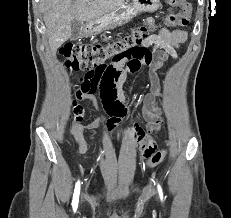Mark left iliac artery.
I'll list each match as a JSON object with an SVG mask.
<instances>
[{"mask_svg": "<svg viewBox=\"0 0 231 218\" xmlns=\"http://www.w3.org/2000/svg\"><path fill=\"white\" fill-rule=\"evenodd\" d=\"M157 188H158L160 199H161V201H163V193H162L161 186L158 184Z\"/></svg>", "mask_w": 231, "mask_h": 218, "instance_id": "44dca946", "label": "left iliac artery"}]
</instances>
